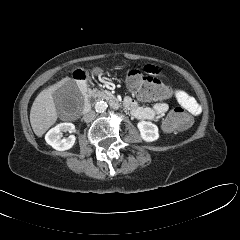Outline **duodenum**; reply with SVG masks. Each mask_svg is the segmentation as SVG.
Here are the masks:
<instances>
[{
	"label": "duodenum",
	"mask_w": 240,
	"mask_h": 240,
	"mask_svg": "<svg viewBox=\"0 0 240 240\" xmlns=\"http://www.w3.org/2000/svg\"><path fill=\"white\" fill-rule=\"evenodd\" d=\"M77 79H78V86L84 95L83 112L87 113L90 109V95H89V91H88V85H87L85 77H78ZM105 99L110 103L112 108L117 109L121 106V102L113 95H105ZM124 106H125V104H124Z\"/></svg>",
	"instance_id": "410a0bca"
}]
</instances>
